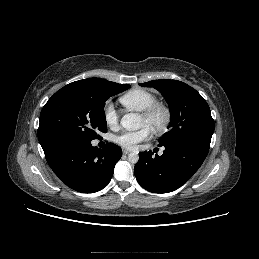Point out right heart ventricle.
<instances>
[{"label": "right heart ventricle", "mask_w": 259, "mask_h": 259, "mask_svg": "<svg viewBox=\"0 0 259 259\" xmlns=\"http://www.w3.org/2000/svg\"><path fill=\"white\" fill-rule=\"evenodd\" d=\"M119 101L127 109L141 112L156 101V96L148 90L138 88L123 94Z\"/></svg>", "instance_id": "obj_1"}]
</instances>
